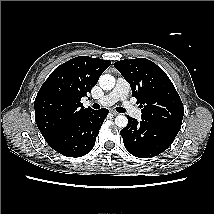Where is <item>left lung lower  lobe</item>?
<instances>
[{
	"mask_svg": "<svg viewBox=\"0 0 214 214\" xmlns=\"http://www.w3.org/2000/svg\"><path fill=\"white\" fill-rule=\"evenodd\" d=\"M128 125L120 131L124 146L139 158L154 157L165 151L174 141L180 128L162 123L128 117Z\"/></svg>",
	"mask_w": 214,
	"mask_h": 214,
	"instance_id": "left-lung-lower-lobe-1",
	"label": "left lung lower lobe"
}]
</instances>
